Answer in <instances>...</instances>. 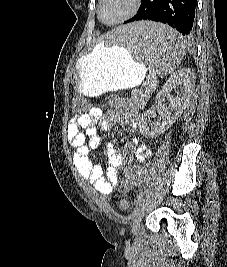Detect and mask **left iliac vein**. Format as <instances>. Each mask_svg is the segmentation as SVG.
<instances>
[{"label": "left iliac vein", "instance_id": "left-iliac-vein-1", "mask_svg": "<svg viewBox=\"0 0 227 267\" xmlns=\"http://www.w3.org/2000/svg\"><path fill=\"white\" fill-rule=\"evenodd\" d=\"M148 203L143 201L138 205L133 213V224H132V233L137 234L140 228V222L144 216V213L147 209Z\"/></svg>", "mask_w": 227, "mask_h": 267}]
</instances>
